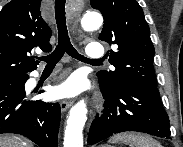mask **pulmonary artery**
<instances>
[{
  "instance_id": "pulmonary-artery-1",
  "label": "pulmonary artery",
  "mask_w": 183,
  "mask_h": 147,
  "mask_svg": "<svg viewBox=\"0 0 183 147\" xmlns=\"http://www.w3.org/2000/svg\"><path fill=\"white\" fill-rule=\"evenodd\" d=\"M86 54L91 59H100L104 56V48L100 43H90L86 47Z\"/></svg>"
}]
</instances>
